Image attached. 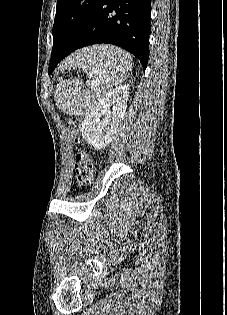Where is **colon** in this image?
Masks as SVG:
<instances>
[{
    "mask_svg": "<svg viewBox=\"0 0 227 315\" xmlns=\"http://www.w3.org/2000/svg\"><path fill=\"white\" fill-rule=\"evenodd\" d=\"M66 131L69 136L79 141L80 121L76 118H70L66 122ZM74 175L78 186L88 185L93 176V159L89 153L81 150L76 155L74 164Z\"/></svg>",
    "mask_w": 227,
    "mask_h": 315,
    "instance_id": "obj_1",
    "label": "colon"
}]
</instances>
